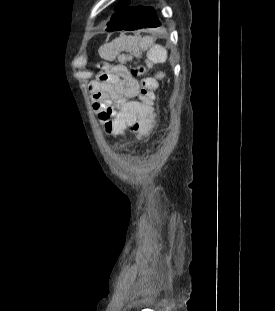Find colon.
I'll return each mask as SVG.
<instances>
[{
    "label": "colon",
    "instance_id": "5ec220e1",
    "mask_svg": "<svg viewBox=\"0 0 275 311\" xmlns=\"http://www.w3.org/2000/svg\"><path fill=\"white\" fill-rule=\"evenodd\" d=\"M147 65H151L153 62L150 61V57L146 59ZM101 73L99 75V79L102 80L106 78L107 68L105 66H101ZM146 70V67L143 64H139L132 69V74L134 76H141ZM157 85L155 84L153 78L151 77H143L139 81V96L143 99H151L155 98V91ZM105 131L110 135H117V130H128L129 128V118H111L104 119ZM140 134V133H138Z\"/></svg>",
    "mask_w": 275,
    "mask_h": 311
}]
</instances>
